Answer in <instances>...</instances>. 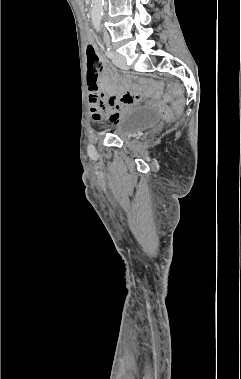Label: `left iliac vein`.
I'll use <instances>...</instances> for the list:
<instances>
[{
    "mask_svg": "<svg viewBox=\"0 0 241 379\" xmlns=\"http://www.w3.org/2000/svg\"><path fill=\"white\" fill-rule=\"evenodd\" d=\"M112 61L117 67L124 70L128 69L126 58L123 55L115 53L112 58Z\"/></svg>",
    "mask_w": 241,
    "mask_h": 379,
    "instance_id": "4c4485c4",
    "label": "left iliac vein"
}]
</instances>
